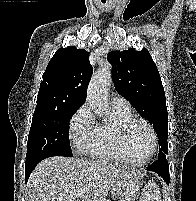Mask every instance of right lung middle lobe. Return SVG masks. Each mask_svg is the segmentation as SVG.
<instances>
[{
	"label": "right lung middle lobe",
	"instance_id": "obj_1",
	"mask_svg": "<svg viewBox=\"0 0 196 201\" xmlns=\"http://www.w3.org/2000/svg\"><path fill=\"white\" fill-rule=\"evenodd\" d=\"M78 108L35 109L28 136L26 162L44 156H73L68 123Z\"/></svg>",
	"mask_w": 196,
	"mask_h": 201
}]
</instances>
